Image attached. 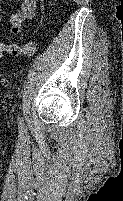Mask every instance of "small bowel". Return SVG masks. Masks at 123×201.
<instances>
[{
    "label": "small bowel",
    "instance_id": "obj_1",
    "mask_svg": "<svg viewBox=\"0 0 123 201\" xmlns=\"http://www.w3.org/2000/svg\"><path fill=\"white\" fill-rule=\"evenodd\" d=\"M17 1L19 2V7L7 17L9 31L12 34H18L22 29V23L33 18L36 12V0Z\"/></svg>",
    "mask_w": 123,
    "mask_h": 201
}]
</instances>
